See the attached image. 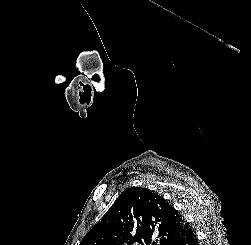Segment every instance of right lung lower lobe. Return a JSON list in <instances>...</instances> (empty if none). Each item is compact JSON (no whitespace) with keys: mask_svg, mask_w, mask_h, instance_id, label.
Segmentation results:
<instances>
[{"mask_svg":"<svg viewBox=\"0 0 251 245\" xmlns=\"http://www.w3.org/2000/svg\"><path fill=\"white\" fill-rule=\"evenodd\" d=\"M197 242L193 230L189 227L186 232H183L179 237L169 241L166 245H198Z\"/></svg>","mask_w":251,"mask_h":245,"instance_id":"right-lung-lower-lobe-1","label":"right lung lower lobe"}]
</instances>
